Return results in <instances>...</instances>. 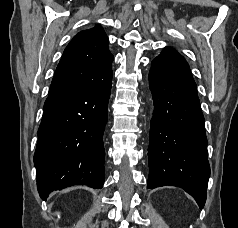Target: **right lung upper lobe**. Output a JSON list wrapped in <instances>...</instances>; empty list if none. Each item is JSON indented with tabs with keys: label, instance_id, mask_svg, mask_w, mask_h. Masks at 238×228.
I'll use <instances>...</instances> for the list:
<instances>
[{
	"label": "right lung upper lobe",
	"instance_id": "right-lung-upper-lobe-1",
	"mask_svg": "<svg viewBox=\"0 0 238 228\" xmlns=\"http://www.w3.org/2000/svg\"><path fill=\"white\" fill-rule=\"evenodd\" d=\"M101 26L79 32L64 50L48 96L74 91L100 82L114 59Z\"/></svg>",
	"mask_w": 238,
	"mask_h": 228
}]
</instances>
